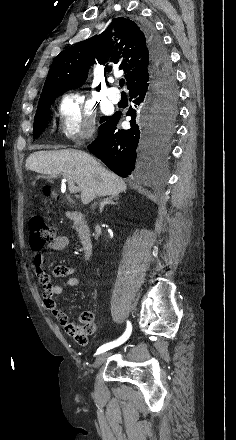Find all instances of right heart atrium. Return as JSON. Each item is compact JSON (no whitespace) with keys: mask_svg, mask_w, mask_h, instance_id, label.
<instances>
[{"mask_svg":"<svg viewBox=\"0 0 236 440\" xmlns=\"http://www.w3.org/2000/svg\"><path fill=\"white\" fill-rule=\"evenodd\" d=\"M59 126L67 139L81 142L95 132L93 105L78 91L61 95L57 107Z\"/></svg>","mask_w":236,"mask_h":440,"instance_id":"obj_1","label":"right heart atrium"}]
</instances>
